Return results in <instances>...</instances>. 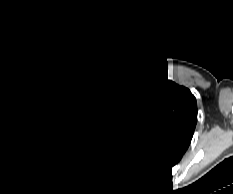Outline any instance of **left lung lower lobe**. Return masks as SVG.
<instances>
[{"label": "left lung lower lobe", "mask_w": 233, "mask_h": 194, "mask_svg": "<svg viewBox=\"0 0 233 194\" xmlns=\"http://www.w3.org/2000/svg\"><path fill=\"white\" fill-rule=\"evenodd\" d=\"M180 159L181 157L177 156H160L145 151L137 156V162L144 170L156 173L171 169Z\"/></svg>", "instance_id": "obj_1"}]
</instances>
